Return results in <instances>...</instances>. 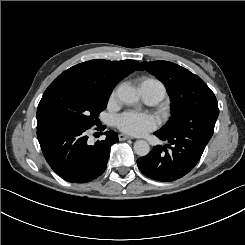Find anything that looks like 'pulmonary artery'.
I'll use <instances>...</instances> for the list:
<instances>
[{"label":"pulmonary artery","instance_id":"pulmonary-artery-1","mask_svg":"<svg viewBox=\"0 0 245 245\" xmlns=\"http://www.w3.org/2000/svg\"><path fill=\"white\" fill-rule=\"evenodd\" d=\"M140 93L147 104L153 105L158 103L163 95L162 92L151 83H142Z\"/></svg>","mask_w":245,"mask_h":245}]
</instances>
